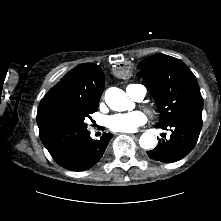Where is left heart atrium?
<instances>
[{"label":"left heart atrium","instance_id":"1","mask_svg":"<svg viewBox=\"0 0 221 221\" xmlns=\"http://www.w3.org/2000/svg\"><path fill=\"white\" fill-rule=\"evenodd\" d=\"M146 121L147 117L143 112L132 111L109 116L106 125L114 132L131 133L143 126Z\"/></svg>","mask_w":221,"mask_h":221}]
</instances>
